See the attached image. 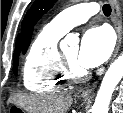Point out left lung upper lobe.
Masks as SVG:
<instances>
[{
    "mask_svg": "<svg viewBox=\"0 0 123 113\" xmlns=\"http://www.w3.org/2000/svg\"><path fill=\"white\" fill-rule=\"evenodd\" d=\"M57 0H35L22 22V51L26 52L38 20L53 7Z\"/></svg>",
    "mask_w": 123,
    "mask_h": 113,
    "instance_id": "1",
    "label": "left lung upper lobe"
}]
</instances>
